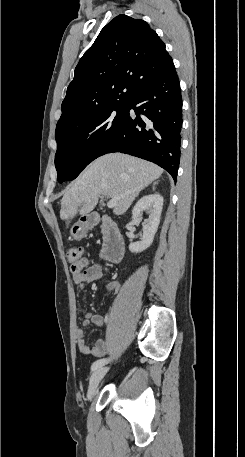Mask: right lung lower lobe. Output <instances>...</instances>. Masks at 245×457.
I'll return each mask as SVG.
<instances>
[{"label":"right lung lower lobe","mask_w":245,"mask_h":457,"mask_svg":"<svg viewBox=\"0 0 245 457\" xmlns=\"http://www.w3.org/2000/svg\"><path fill=\"white\" fill-rule=\"evenodd\" d=\"M130 109L136 117L127 116L107 153L122 152L154 162L176 180L182 127V97L176 71L146 82L129 101Z\"/></svg>","instance_id":"right-lung-lower-lobe-1"}]
</instances>
